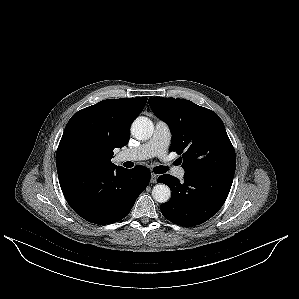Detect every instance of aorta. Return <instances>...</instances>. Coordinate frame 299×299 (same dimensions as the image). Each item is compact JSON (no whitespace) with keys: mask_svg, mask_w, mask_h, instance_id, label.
Masks as SVG:
<instances>
[{"mask_svg":"<svg viewBox=\"0 0 299 299\" xmlns=\"http://www.w3.org/2000/svg\"><path fill=\"white\" fill-rule=\"evenodd\" d=\"M154 131L153 123L146 117H138L131 125V133L137 140L149 139ZM152 196L159 203H166L171 197L170 188L165 184H156L152 189Z\"/></svg>","mask_w":299,"mask_h":299,"instance_id":"aorta-1","label":"aorta"}]
</instances>
